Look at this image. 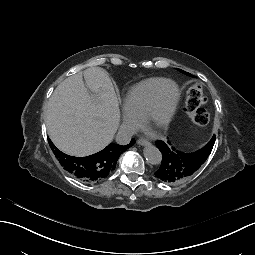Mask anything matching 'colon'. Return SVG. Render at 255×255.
Wrapping results in <instances>:
<instances>
[{"label": "colon", "instance_id": "5ec220e1", "mask_svg": "<svg viewBox=\"0 0 255 255\" xmlns=\"http://www.w3.org/2000/svg\"><path fill=\"white\" fill-rule=\"evenodd\" d=\"M205 100L203 88L200 84L196 83L188 88L185 109L191 120L200 126L206 125L210 119L209 112L203 107Z\"/></svg>", "mask_w": 255, "mask_h": 255}]
</instances>
